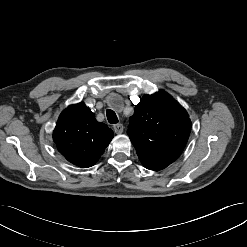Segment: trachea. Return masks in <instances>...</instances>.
I'll list each match as a JSON object with an SVG mask.
<instances>
[{"label": "trachea", "mask_w": 247, "mask_h": 247, "mask_svg": "<svg viewBox=\"0 0 247 247\" xmlns=\"http://www.w3.org/2000/svg\"><path fill=\"white\" fill-rule=\"evenodd\" d=\"M106 115H107V119H108L109 123H111V124L118 123V118L116 116V113L113 110L107 109L106 110Z\"/></svg>", "instance_id": "obj_1"}]
</instances>
